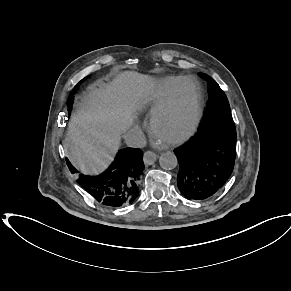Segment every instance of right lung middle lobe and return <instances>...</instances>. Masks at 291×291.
<instances>
[{
	"label": "right lung middle lobe",
	"instance_id": "1",
	"mask_svg": "<svg viewBox=\"0 0 291 291\" xmlns=\"http://www.w3.org/2000/svg\"><path fill=\"white\" fill-rule=\"evenodd\" d=\"M85 80V78L83 80H81L73 89L72 93H71V96L68 98V101H67V105H68V110H69V115L71 113V108H72V104H73V95L74 93L76 92V89L79 87V85Z\"/></svg>",
	"mask_w": 291,
	"mask_h": 291
}]
</instances>
